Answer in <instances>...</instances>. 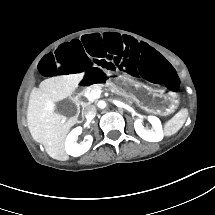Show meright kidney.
<instances>
[{
    "label": "right kidney",
    "mask_w": 215,
    "mask_h": 215,
    "mask_svg": "<svg viewBox=\"0 0 215 215\" xmlns=\"http://www.w3.org/2000/svg\"><path fill=\"white\" fill-rule=\"evenodd\" d=\"M82 133V127H76L73 129L67 136L65 141V150L68 155L73 157H78L89 150L91 147L92 141L84 143L83 145H79L75 143L76 137ZM85 138L91 139V136L87 135Z\"/></svg>",
    "instance_id": "right-kidney-1"
}]
</instances>
